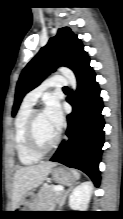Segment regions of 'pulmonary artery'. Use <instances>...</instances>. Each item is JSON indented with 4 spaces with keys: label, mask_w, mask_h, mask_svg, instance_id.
<instances>
[{
    "label": "pulmonary artery",
    "mask_w": 123,
    "mask_h": 219,
    "mask_svg": "<svg viewBox=\"0 0 123 219\" xmlns=\"http://www.w3.org/2000/svg\"><path fill=\"white\" fill-rule=\"evenodd\" d=\"M68 81L65 77L61 75H56L45 80L39 87L30 91L24 98V103L29 105H34L38 98L41 96L43 91L48 88H63L67 86Z\"/></svg>",
    "instance_id": "pulmonary-artery-1"
}]
</instances>
